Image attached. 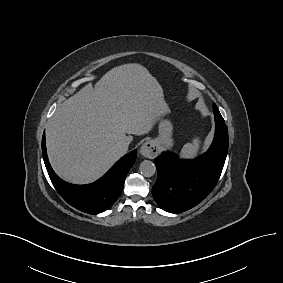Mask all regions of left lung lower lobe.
Returning <instances> with one entry per match:
<instances>
[{
	"label": "left lung lower lobe",
	"mask_w": 283,
	"mask_h": 283,
	"mask_svg": "<svg viewBox=\"0 0 283 283\" xmlns=\"http://www.w3.org/2000/svg\"><path fill=\"white\" fill-rule=\"evenodd\" d=\"M216 132L209 150L194 160L163 152L154 159L158 177L152 195L161 209L181 213L202 202L214 189L228 152V129L220 113H214Z\"/></svg>",
	"instance_id": "left-lung-lower-lobe-1"
}]
</instances>
